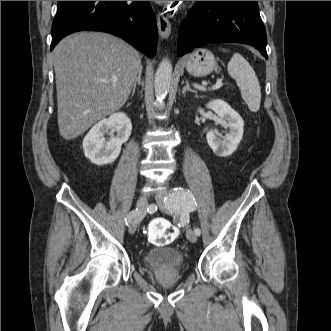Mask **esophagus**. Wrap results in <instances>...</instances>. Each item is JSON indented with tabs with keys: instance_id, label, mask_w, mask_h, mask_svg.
Listing matches in <instances>:
<instances>
[{
	"instance_id": "esophagus-1",
	"label": "esophagus",
	"mask_w": 331,
	"mask_h": 331,
	"mask_svg": "<svg viewBox=\"0 0 331 331\" xmlns=\"http://www.w3.org/2000/svg\"><path fill=\"white\" fill-rule=\"evenodd\" d=\"M157 27L161 38L167 39L170 36L171 23L162 13L157 14Z\"/></svg>"
}]
</instances>
